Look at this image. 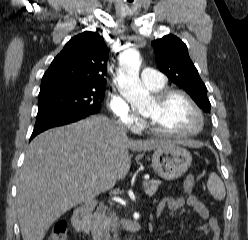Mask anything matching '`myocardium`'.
Here are the masks:
<instances>
[{"label":"myocardium","instance_id":"f54148a6","mask_svg":"<svg viewBox=\"0 0 248 240\" xmlns=\"http://www.w3.org/2000/svg\"><path fill=\"white\" fill-rule=\"evenodd\" d=\"M154 92H155L154 93V99H155L157 105H159V106L163 105L166 102V100L168 98H170L171 96L180 95V96L184 97L189 102V104L191 105L193 110L195 111V113L198 117V120H199V124L196 128H194L193 130L188 131V132H172V131H166V130H162V129L155 127L153 122L149 118L144 116L145 122H146V128L149 132H151L157 136H161V137L190 138V137L198 135L203 130V128L205 126L204 114H203L201 108L199 107V105L197 104V102L192 98V96L188 92H186L182 89H178V88H163V89H160V90L154 91Z\"/></svg>","mask_w":248,"mask_h":240}]
</instances>
